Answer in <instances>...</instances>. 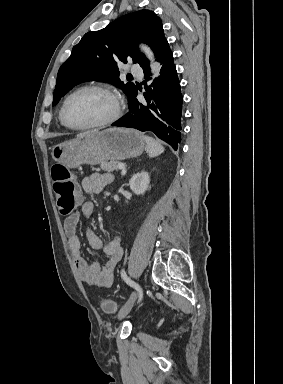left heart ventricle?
Returning <instances> with one entry per match:
<instances>
[{"label": "left heart ventricle", "mask_w": 283, "mask_h": 384, "mask_svg": "<svg viewBox=\"0 0 283 384\" xmlns=\"http://www.w3.org/2000/svg\"><path fill=\"white\" fill-rule=\"evenodd\" d=\"M111 111L112 103L105 94L84 91L69 100L65 117L69 125L81 127L105 119Z\"/></svg>", "instance_id": "left-heart-ventricle-1"}]
</instances>
